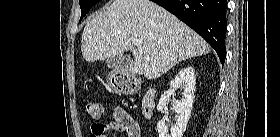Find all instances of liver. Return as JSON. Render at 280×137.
Segmentation results:
<instances>
[{"instance_id":"1","label":"liver","mask_w":280,"mask_h":137,"mask_svg":"<svg viewBox=\"0 0 280 137\" xmlns=\"http://www.w3.org/2000/svg\"><path fill=\"white\" fill-rule=\"evenodd\" d=\"M87 62L131 51V74L159 78L178 62L207 54L206 41L150 0H114L87 22L81 40Z\"/></svg>"}]
</instances>
